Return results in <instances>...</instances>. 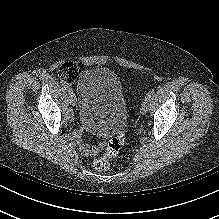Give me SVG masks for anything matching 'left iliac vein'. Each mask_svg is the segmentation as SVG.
<instances>
[{
    "mask_svg": "<svg viewBox=\"0 0 219 219\" xmlns=\"http://www.w3.org/2000/svg\"><path fill=\"white\" fill-rule=\"evenodd\" d=\"M149 101L144 100L141 104L140 112L142 115H145L148 111V103Z\"/></svg>",
    "mask_w": 219,
    "mask_h": 219,
    "instance_id": "1",
    "label": "left iliac vein"
}]
</instances>
